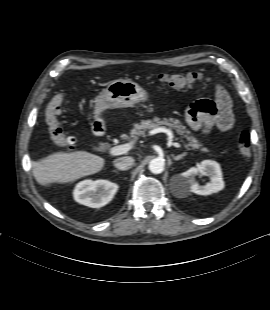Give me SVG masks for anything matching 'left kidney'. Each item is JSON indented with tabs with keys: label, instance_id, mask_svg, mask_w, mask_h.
<instances>
[{
	"label": "left kidney",
	"instance_id": "1",
	"mask_svg": "<svg viewBox=\"0 0 270 310\" xmlns=\"http://www.w3.org/2000/svg\"><path fill=\"white\" fill-rule=\"evenodd\" d=\"M198 174L207 175L211 181L206 185H199L195 179ZM180 184L185 192H193L198 195L217 193L225 187L220 165L212 160H204L198 167H191L183 172L180 177Z\"/></svg>",
	"mask_w": 270,
	"mask_h": 310
}]
</instances>
